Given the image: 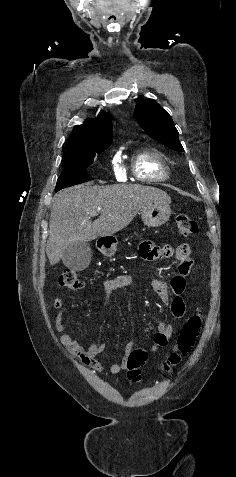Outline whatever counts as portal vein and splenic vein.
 Instances as JSON below:
<instances>
[{"instance_id": "portal-vein-and-splenic-vein-1", "label": "portal vein and splenic vein", "mask_w": 236, "mask_h": 477, "mask_svg": "<svg viewBox=\"0 0 236 477\" xmlns=\"http://www.w3.org/2000/svg\"><path fill=\"white\" fill-rule=\"evenodd\" d=\"M98 214H99V212H92V213H90V216H96Z\"/></svg>"}]
</instances>
